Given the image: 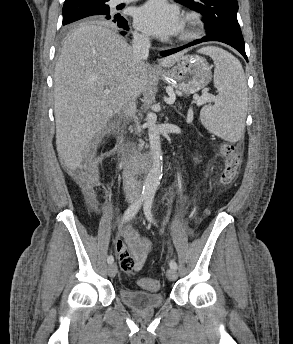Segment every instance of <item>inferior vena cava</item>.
I'll list each match as a JSON object with an SVG mask.
<instances>
[{
	"label": "inferior vena cava",
	"mask_w": 293,
	"mask_h": 344,
	"mask_svg": "<svg viewBox=\"0 0 293 344\" xmlns=\"http://www.w3.org/2000/svg\"><path fill=\"white\" fill-rule=\"evenodd\" d=\"M150 48V39L148 35L133 33L132 43V68L128 72L125 82L122 87L120 96L122 115L126 120L132 119L136 110V93L134 90V73L139 64L148 57ZM133 145L126 144V158L132 157ZM123 187L126 197L138 198L141 193V184L137 181L135 170L132 164H125L123 168Z\"/></svg>",
	"instance_id": "602c4592"
}]
</instances>
